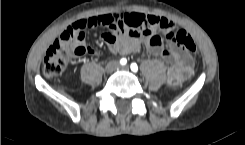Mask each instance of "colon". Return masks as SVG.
I'll return each mask as SVG.
<instances>
[{
    "instance_id": "1",
    "label": "colon",
    "mask_w": 245,
    "mask_h": 145,
    "mask_svg": "<svg viewBox=\"0 0 245 145\" xmlns=\"http://www.w3.org/2000/svg\"><path fill=\"white\" fill-rule=\"evenodd\" d=\"M78 22L67 26L60 38L57 39L47 51L42 63V72L45 77L54 78L59 76L70 58L83 56L87 53V47L79 43L85 29L80 27ZM89 24L93 27L103 25L104 19L102 17L98 18V16L92 17L89 19ZM160 29L161 28L157 26L152 28L155 32ZM171 36L174 41L189 51H196V44L186 31L174 29L171 31ZM156 41L159 43L163 42V37L158 34Z\"/></svg>"
}]
</instances>
